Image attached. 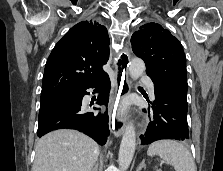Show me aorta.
<instances>
[{"instance_id": "aorta-1", "label": "aorta", "mask_w": 223, "mask_h": 171, "mask_svg": "<svg viewBox=\"0 0 223 171\" xmlns=\"http://www.w3.org/2000/svg\"><path fill=\"white\" fill-rule=\"evenodd\" d=\"M145 70V64L143 60L139 58H133L129 63V74L132 79H138ZM136 145V132L132 123H129L123 134L119 154L118 164L121 171H126L133 159Z\"/></svg>"}]
</instances>
